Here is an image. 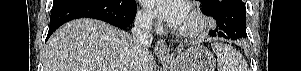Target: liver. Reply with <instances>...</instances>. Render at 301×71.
<instances>
[{"label":"liver","mask_w":301,"mask_h":71,"mask_svg":"<svg viewBox=\"0 0 301 71\" xmlns=\"http://www.w3.org/2000/svg\"><path fill=\"white\" fill-rule=\"evenodd\" d=\"M44 71H153L149 52L132 35L105 22L77 19L57 29L43 54Z\"/></svg>","instance_id":"1"}]
</instances>
